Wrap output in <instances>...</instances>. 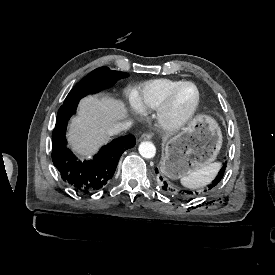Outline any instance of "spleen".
<instances>
[{
    "label": "spleen",
    "mask_w": 275,
    "mask_h": 275,
    "mask_svg": "<svg viewBox=\"0 0 275 275\" xmlns=\"http://www.w3.org/2000/svg\"><path fill=\"white\" fill-rule=\"evenodd\" d=\"M222 167L221 162L210 163L203 168L193 171L180 179L181 184L189 189H197L210 184Z\"/></svg>",
    "instance_id": "1"
}]
</instances>
